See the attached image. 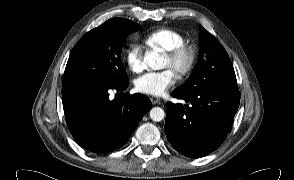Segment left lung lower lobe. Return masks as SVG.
Instances as JSON below:
<instances>
[{"instance_id": "0a47b994", "label": "left lung lower lobe", "mask_w": 294, "mask_h": 180, "mask_svg": "<svg viewBox=\"0 0 294 180\" xmlns=\"http://www.w3.org/2000/svg\"><path fill=\"white\" fill-rule=\"evenodd\" d=\"M172 96L187 104L168 102L164 132L173 148L191 157H203L226 139L240 103L239 90L209 89ZM189 103V105H188Z\"/></svg>"}]
</instances>
